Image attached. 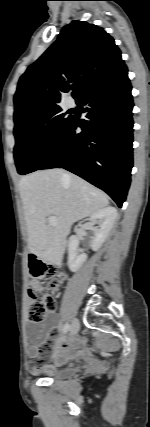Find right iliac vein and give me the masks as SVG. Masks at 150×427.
Segmentation results:
<instances>
[{"label": "right iliac vein", "instance_id": "obj_1", "mask_svg": "<svg viewBox=\"0 0 150 427\" xmlns=\"http://www.w3.org/2000/svg\"><path fill=\"white\" fill-rule=\"evenodd\" d=\"M79 327H80L79 321L77 319H74L71 323V326H70L71 334L75 335L78 332Z\"/></svg>", "mask_w": 150, "mask_h": 427}]
</instances>
